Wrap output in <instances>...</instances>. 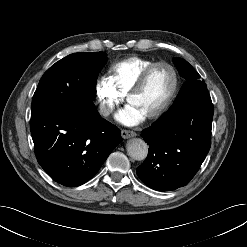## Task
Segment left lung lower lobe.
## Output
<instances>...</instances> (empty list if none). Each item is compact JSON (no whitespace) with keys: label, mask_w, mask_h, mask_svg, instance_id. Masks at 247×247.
Instances as JSON below:
<instances>
[{"label":"left lung lower lobe","mask_w":247,"mask_h":247,"mask_svg":"<svg viewBox=\"0 0 247 247\" xmlns=\"http://www.w3.org/2000/svg\"><path fill=\"white\" fill-rule=\"evenodd\" d=\"M212 119L213 104L202 89L144 129L149 153L137 168L142 182L157 191L187 185L209 152Z\"/></svg>","instance_id":"left-lung-lower-lobe-1"}]
</instances>
